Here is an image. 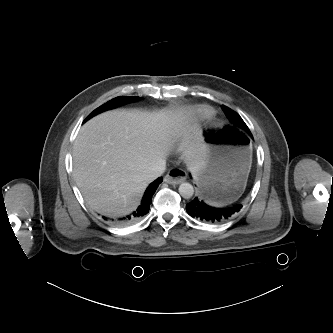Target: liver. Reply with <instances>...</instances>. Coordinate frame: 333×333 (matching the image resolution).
I'll return each mask as SVG.
<instances>
[{
  "label": "liver",
  "mask_w": 333,
  "mask_h": 333,
  "mask_svg": "<svg viewBox=\"0 0 333 333\" xmlns=\"http://www.w3.org/2000/svg\"><path fill=\"white\" fill-rule=\"evenodd\" d=\"M183 132L167 112L115 110L85 123L73 146V175L87 204L110 217L137 208L151 182L147 169L165 158ZM195 177L204 164V147L185 151Z\"/></svg>",
  "instance_id": "liver-1"
}]
</instances>
